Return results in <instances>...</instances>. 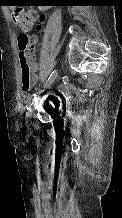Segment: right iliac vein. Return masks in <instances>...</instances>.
<instances>
[{"instance_id": "63e3f726", "label": "right iliac vein", "mask_w": 122, "mask_h": 218, "mask_svg": "<svg viewBox=\"0 0 122 218\" xmlns=\"http://www.w3.org/2000/svg\"><path fill=\"white\" fill-rule=\"evenodd\" d=\"M57 77H58V75H56V77L51 82L46 84L44 88L45 89L50 88L55 83V80L57 79ZM32 114H33V103L31 105H29L28 111L26 113L27 122L30 121Z\"/></svg>"}]
</instances>
